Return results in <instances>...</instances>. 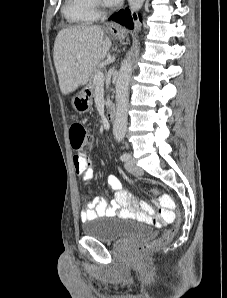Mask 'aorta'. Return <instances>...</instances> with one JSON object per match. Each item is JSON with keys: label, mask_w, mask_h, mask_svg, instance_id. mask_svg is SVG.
Wrapping results in <instances>:
<instances>
[{"label": "aorta", "mask_w": 227, "mask_h": 298, "mask_svg": "<svg viewBox=\"0 0 227 298\" xmlns=\"http://www.w3.org/2000/svg\"><path fill=\"white\" fill-rule=\"evenodd\" d=\"M145 0H128L130 9L138 11ZM132 75L131 57L128 55L121 63L116 82V116L113 123V135L117 140L124 138L127 129L129 82Z\"/></svg>", "instance_id": "762f6f07"}]
</instances>
